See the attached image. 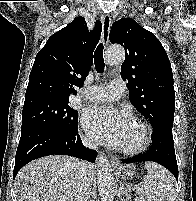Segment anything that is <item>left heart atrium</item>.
<instances>
[{
  "instance_id": "1",
  "label": "left heart atrium",
  "mask_w": 196,
  "mask_h": 201,
  "mask_svg": "<svg viewBox=\"0 0 196 201\" xmlns=\"http://www.w3.org/2000/svg\"><path fill=\"white\" fill-rule=\"evenodd\" d=\"M82 122L91 137L100 142L120 146L133 124L127 110L110 106H90L82 116Z\"/></svg>"
}]
</instances>
